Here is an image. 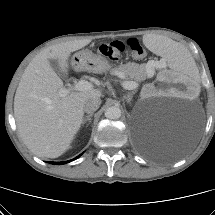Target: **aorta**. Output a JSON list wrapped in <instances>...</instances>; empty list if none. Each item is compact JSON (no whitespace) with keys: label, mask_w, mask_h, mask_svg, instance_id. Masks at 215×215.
<instances>
[{"label":"aorta","mask_w":215,"mask_h":215,"mask_svg":"<svg viewBox=\"0 0 215 215\" xmlns=\"http://www.w3.org/2000/svg\"><path fill=\"white\" fill-rule=\"evenodd\" d=\"M105 117L111 120H116L121 117V109L118 106H111L105 110Z\"/></svg>","instance_id":"obj_1"}]
</instances>
